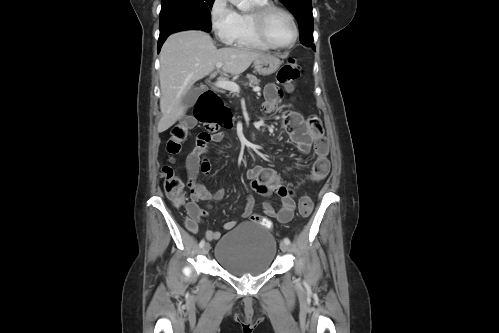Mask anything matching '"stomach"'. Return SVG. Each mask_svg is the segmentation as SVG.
<instances>
[{
  "label": "stomach",
  "instance_id": "1",
  "mask_svg": "<svg viewBox=\"0 0 499 333\" xmlns=\"http://www.w3.org/2000/svg\"><path fill=\"white\" fill-rule=\"evenodd\" d=\"M281 65L278 57L266 54L254 61L255 71L260 75L268 76L275 73Z\"/></svg>",
  "mask_w": 499,
  "mask_h": 333
}]
</instances>
